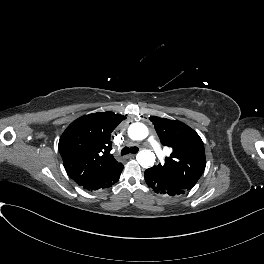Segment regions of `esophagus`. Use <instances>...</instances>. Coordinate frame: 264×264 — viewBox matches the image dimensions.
<instances>
[{
    "label": "esophagus",
    "mask_w": 264,
    "mask_h": 264,
    "mask_svg": "<svg viewBox=\"0 0 264 264\" xmlns=\"http://www.w3.org/2000/svg\"><path fill=\"white\" fill-rule=\"evenodd\" d=\"M128 158H137L135 155H130Z\"/></svg>",
    "instance_id": "34e87169"
}]
</instances>
